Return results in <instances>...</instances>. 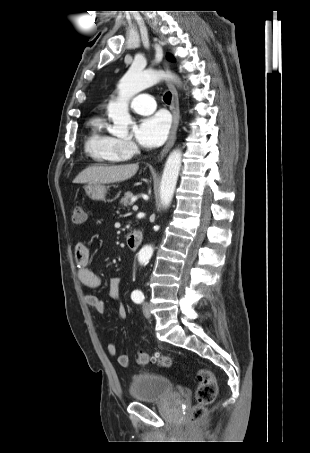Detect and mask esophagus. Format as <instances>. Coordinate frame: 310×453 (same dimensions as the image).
I'll return each mask as SVG.
<instances>
[{
  "label": "esophagus",
  "instance_id": "esophagus-1",
  "mask_svg": "<svg viewBox=\"0 0 310 453\" xmlns=\"http://www.w3.org/2000/svg\"><path fill=\"white\" fill-rule=\"evenodd\" d=\"M165 68H168L166 64H165ZM167 85L172 93L171 111H172V115H173V123H172V127L170 130L168 141L160 153L161 158H163L168 153V151L171 149V147L173 146V144L176 140V132L178 129L179 119H180L179 99H178L177 90L171 81H168Z\"/></svg>",
  "mask_w": 310,
  "mask_h": 453
}]
</instances>
